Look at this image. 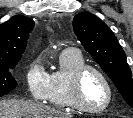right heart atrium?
Listing matches in <instances>:
<instances>
[{
	"label": "right heart atrium",
	"instance_id": "d8ad5b80",
	"mask_svg": "<svg viewBox=\"0 0 133 118\" xmlns=\"http://www.w3.org/2000/svg\"><path fill=\"white\" fill-rule=\"evenodd\" d=\"M25 79L29 94L33 100L40 102L47 100L49 75L39 59L32 60L29 63Z\"/></svg>",
	"mask_w": 133,
	"mask_h": 118
}]
</instances>
